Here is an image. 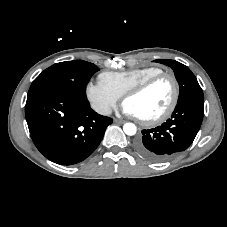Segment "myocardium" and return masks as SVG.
I'll list each match as a JSON object with an SVG mask.
<instances>
[{"mask_svg": "<svg viewBox=\"0 0 227 227\" xmlns=\"http://www.w3.org/2000/svg\"><path fill=\"white\" fill-rule=\"evenodd\" d=\"M164 78H167L172 82V85H173L172 99H171L168 107L158 116L150 118V119H143V118L138 117L139 121L144 125L154 126V125L160 124V123L164 122L165 120H167L172 115L174 110L176 109L178 101H179V96H180V86H179V82H178L177 78L175 77V75L168 73V72L159 73L157 75H154V76L142 81L141 83L137 84L136 86L132 87L131 89L126 91L123 95V103H125V101L128 98L142 94L147 89H149L152 85H154L156 82H158Z\"/></svg>", "mask_w": 227, "mask_h": 227, "instance_id": "myocardium-1", "label": "myocardium"}]
</instances>
